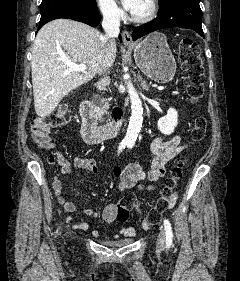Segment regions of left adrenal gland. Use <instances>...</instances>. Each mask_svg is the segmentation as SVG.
Returning a JSON list of instances; mask_svg holds the SVG:
<instances>
[{
	"instance_id": "obj_1",
	"label": "left adrenal gland",
	"mask_w": 240,
	"mask_h": 281,
	"mask_svg": "<svg viewBox=\"0 0 240 281\" xmlns=\"http://www.w3.org/2000/svg\"><path fill=\"white\" fill-rule=\"evenodd\" d=\"M139 80L141 81L142 88L146 91L149 90V85L146 83L145 80H142V77L139 75Z\"/></svg>"
}]
</instances>
